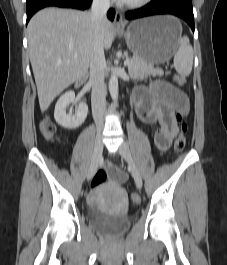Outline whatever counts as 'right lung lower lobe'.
Listing matches in <instances>:
<instances>
[{
    "instance_id": "right-lung-lower-lobe-1",
    "label": "right lung lower lobe",
    "mask_w": 227,
    "mask_h": 265,
    "mask_svg": "<svg viewBox=\"0 0 227 265\" xmlns=\"http://www.w3.org/2000/svg\"><path fill=\"white\" fill-rule=\"evenodd\" d=\"M92 0H26L27 5V23L34 13L38 10L49 7L57 6L63 8H76V9H87ZM115 15L114 10H109L107 16L110 20H113Z\"/></svg>"
}]
</instances>
